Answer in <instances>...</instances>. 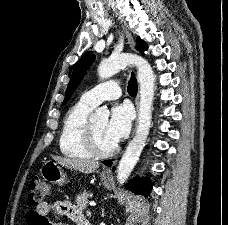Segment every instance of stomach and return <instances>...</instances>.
<instances>
[{"instance_id":"obj_1","label":"stomach","mask_w":228,"mask_h":225,"mask_svg":"<svg viewBox=\"0 0 228 225\" xmlns=\"http://www.w3.org/2000/svg\"><path fill=\"white\" fill-rule=\"evenodd\" d=\"M40 173L44 181H48V183H52V185H58V187H63L68 181L67 173H65L63 165H58L55 161H45L40 169ZM101 177L104 187H110L111 179H106L104 173H102Z\"/></svg>"}]
</instances>
